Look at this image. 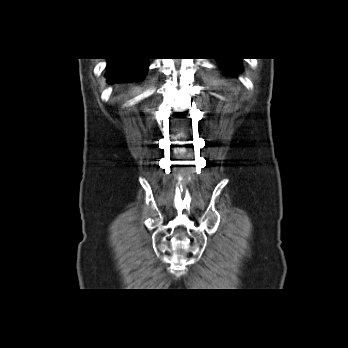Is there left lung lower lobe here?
Masks as SVG:
<instances>
[{
    "label": "left lung lower lobe",
    "instance_id": "obj_1",
    "mask_svg": "<svg viewBox=\"0 0 348 348\" xmlns=\"http://www.w3.org/2000/svg\"><path fill=\"white\" fill-rule=\"evenodd\" d=\"M221 60L228 65H232L233 68L240 69L239 58H222ZM234 75V74H233ZM235 76V75H234Z\"/></svg>",
    "mask_w": 348,
    "mask_h": 348
}]
</instances>
